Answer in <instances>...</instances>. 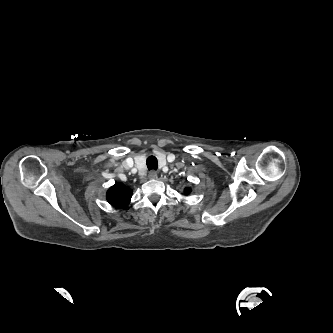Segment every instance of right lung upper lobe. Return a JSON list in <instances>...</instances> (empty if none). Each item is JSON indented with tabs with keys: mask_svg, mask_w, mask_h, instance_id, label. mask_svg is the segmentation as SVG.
<instances>
[{
	"mask_svg": "<svg viewBox=\"0 0 333 333\" xmlns=\"http://www.w3.org/2000/svg\"><path fill=\"white\" fill-rule=\"evenodd\" d=\"M132 197V190L122 184L116 183L107 191V201L115 207L125 208Z\"/></svg>",
	"mask_w": 333,
	"mask_h": 333,
	"instance_id": "1",
	"label": "right lung upper lobe"
}]
</instances>
